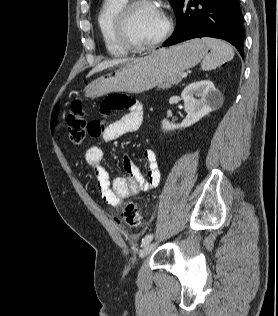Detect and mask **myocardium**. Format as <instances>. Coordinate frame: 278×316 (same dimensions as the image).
<instances>
[{"instance_id": "myocardium-1", "label": "myocardium", "mask_w": 278, "mask_h": 316, "mask_svg": "<svg viewBox=\"0 0 278 316\" xmlns=\"http://www.w3.org/2000/svg\"><path fill=\"white\" fill-rule=\"evenodd\" d=\"M145 4L154 5L159 8L165 20V28L161 35L154 41L145 44H138L133 41L130 35L129 20L134 10ZM115 30L117 37L123 46L134 52H142L159 46L170 36L173 30V20L164 7L155 0H129L116 16Z\"/></svg>"}]
</instances>
